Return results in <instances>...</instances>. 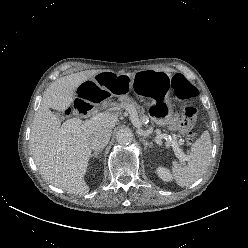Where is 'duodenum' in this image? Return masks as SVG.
Masks as SVG:
<instances>
[{
	"mask_svg": "<svg viewBox=\"0 0 248 248\" xmlns=\"http://www.w3.org/2000/svg\"><path fill=\"white\" fill-rule=\"evenodd\" d=\"M75 110L81 115H87L93 110V106L87 102L79 101L75 104Z\"/></svg>",
	"mask_w": 248,
	"mask_h": 248,
	"instance_id": "410a0bca",
	"label": "duodenum"
}]
</instances>
